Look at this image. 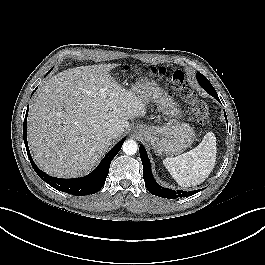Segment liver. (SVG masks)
Instances as JSON below:
<instances>
[{
	"label": "liver",
	"instance_id": "6515ba94",
	"mask_svg": "<svg viewBox=\"0 0 265 265\" xmlns=\"http://www.w3.org/2000/svg\"><path fill=\"white\" fill-rule=\"evenodd\" d=\"M118 64L81 66L58 73L37 92L28 115V143L36 164L59 178L90 171L107 152L113 128L120 137L145 104L109 73ZM103 91L104 95H101Z\"/></svg>",
	"mask_w": 265,
	"mask_h": 265
}]
</instances>
